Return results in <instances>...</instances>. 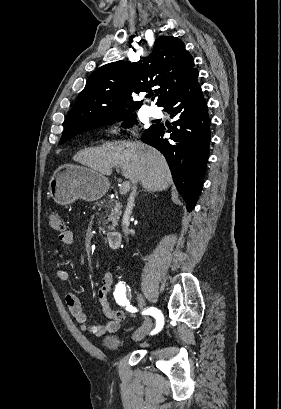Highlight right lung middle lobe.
<instances>
[{"label": "right lung middle lobe", "instance_id": "1", "mask_svg": "<svg viewBox=\"0 0 281 409\" xmlns=\"http://www.w3.org/2000/svg\"><path fill=\"white\" fill-rule=\"evenodd\" d=\"M135 118H136V116L134 114H127L126 112H123V113L108 117L106 119L97 121L95 123H92V124H89V125H86V126H83V127L65 128L64 131H63L61 140H60V144L65 143L66 141H68L69 139H71L72 137H74L75 135H77V134H79V133H81L83 131H86V130H89V129H92V128H95V127H98V126L111 124V123H114V122L119 121V120H124V119L132 120V119H135Z\"/></svg>", "mask_w": 281, "mask_h": 409}]
</instances>
